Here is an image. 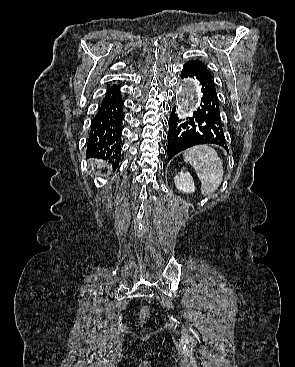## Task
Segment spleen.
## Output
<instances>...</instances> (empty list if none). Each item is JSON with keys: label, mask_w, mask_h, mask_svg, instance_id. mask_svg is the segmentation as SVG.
Listing matches in <instances>:
<instances>
[{"label": "spleen", "mask_w": 295, "mask_h": 367, "mask_svg": "<svg viewBox=\"0 0 295 367\" xmlns=\"http://www.w3.org/2000/svg\"><path fill=\"white\" fill-rule=\"evenodd\" d=\"M183 158L195 169L202 194L212 195L223 180V166L217 152L210 146L198 145L186 150Z\"/></svg>", "instance_id": "3e777b00"}]
</instances>
